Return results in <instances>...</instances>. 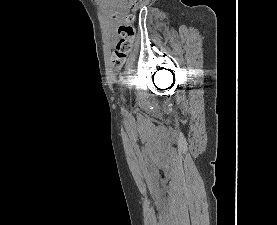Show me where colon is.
I'll return each mask as SVG.
<instances>
[{
	"label": "colon",
	"mask_w": 277,
	"mask_h": 225,
	"mask_svg": "<svg viewBox=\"0 0 277 225\" xmlns=\"http://www.w3.org/2000/svg\"><path fill=\"white\" fill-rule=\"evenodd\" d=\"M128 3L132 10H135L141 0H128ZM135 17L132 13H128L122 16V24L119 26V41L116 48L112 54V64L115 67H121L130 53L133 45V41L136 35V30L134 27Z\"/></svg>",
	"instance_id": "5ec220e1"
}]
</instances>
